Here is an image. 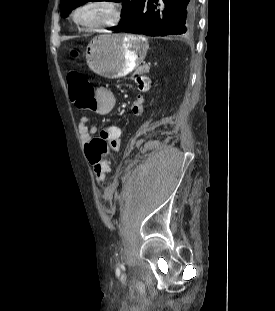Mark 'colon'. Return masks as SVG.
<instances>
[{
  "label": "colon",
  "instance_id": "1",
  "mask_svg": "<svg viewBox=\"0 0 275 311\" xmlns=\"http://www.w3.org/2000/svg\"><path fill=\"white\" fill-rule=\"evenodd\" d=\"M68 84L71 101L76 107L83 108L84 105H90L94 100V87L83 74L70 73ZM109 147L111 143L103 136L94 138L86 147L88 161L99 180H102L110 169Z\"/></svg>",
  "mask_w": 275,
  "mask_h": 311
}]
</instances>
